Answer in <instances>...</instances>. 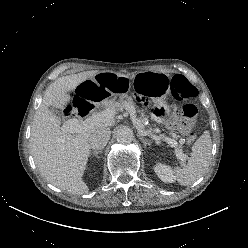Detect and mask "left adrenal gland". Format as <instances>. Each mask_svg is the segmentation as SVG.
<instances>
[{"mask_svg":"<svg viewBox=\"0 0 248 248\" xmlns=\"http://www.w3.org/2000/svg\"><path fill=\"white\" fill-rule=\"evenodd\" d=\"M138 137L140 138V140L143 143L145 148L147 145H151V143L148 140L144 139L143 137H140L139 135H138Z\"/></svg>","mask_w":248,"mask_h":248,"instance_id":"left-adrenal-gland-1","label":"left adrenal gland"}]
</instances>
